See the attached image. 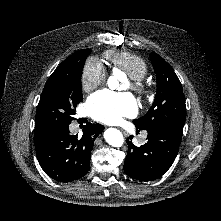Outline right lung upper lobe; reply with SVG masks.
<instances>
[{"label": "right lung upper lobe", "instance_id": "right-lung-upper-lobe-1", "mask_svg": "<svg viewBox=\"0 0 221 221\" xmlns=\"http://www.w3.org/2000/svg\"><path fill=\"white\" fill-rule=\"evenodd\" d=\"M80 51H77V52L73 53L66 60H64L56 69H60V68L65 67Z\"/></svg>", "mask_w": 221, "mask_h": 221}]
</instances>
